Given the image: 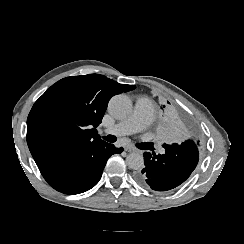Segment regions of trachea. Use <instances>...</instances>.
Instances as JSON below:
<instances>
[{
    "instance_id": "obj_1",
    "label": "trachea",
    "mask_w": 244,
    "mask_h": 244,
    "mask_svg": "<svg viewBox=\"0 0 244 244\" xmlns=\"http://www.w3.org/2000/svg\"><path fill=\"white\" fill-rule=\"evenodd\" d=\"M106 141L114 143L117 140V137L114 135H107L103 137Z\"/></svg>"
}]
</instances>
